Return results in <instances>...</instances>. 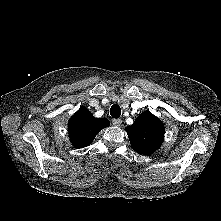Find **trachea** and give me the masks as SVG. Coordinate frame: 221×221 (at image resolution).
Wrapping results in <instances>:
<instances>
[{
    "label": "trachea",
    "instance_id": "obj_1",
    "mask_svg": "<svg viewBox=\"0 0 221 221\" xmlns=\"http://www.w3.org/2000/svg\"><path fill=\"white\" fill-rule=\"evenodd\" d=\"M110 115L113 118H115V119L120 117V115H121V108H120V106L118 104H114V105L111 106V108H110Z\"/></svg>",
    "mask_w": 221,
    "mask_h": 221
}]
</instances>
